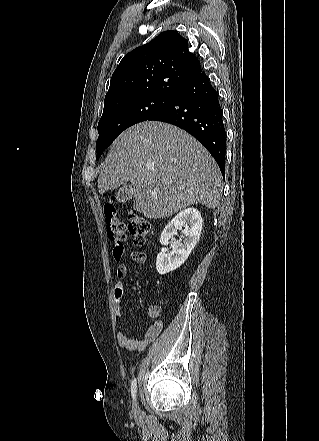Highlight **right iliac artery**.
Wrapping results in <instances>:
<instances>
[{"label":"right iliac artery","mask_w":319,"mask_h":441,"mask_svg":"<svg viewBox=\"0 0 319 441\" xmlns=\"http://www.w3.org/2000/svg\"><path fill=\"white\" fill-rule=\"evenodd\" d=\"M136 393H137V382L136 379H133L131 382V395L134 401L136 399Z\"/></svg>","instance_id":"82829eb1"}]
</instances>
